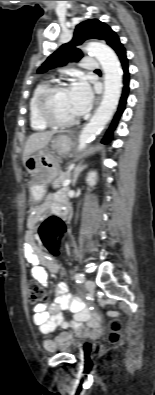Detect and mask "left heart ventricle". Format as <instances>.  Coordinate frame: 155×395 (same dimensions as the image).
I'll list each match as a JSON object with an SVG mask.
<instances>
[{
    "instance_id": "obj_1",
    "label": "left heart ventricle",
    "mask_w": 155,
    "mask_h": 395,
    "mask_svg": "<svg viewBox=\"0 0 155 395\" xmlns=\"http://www.w3.org/2000/svg\"><path fill=\"white\" fill-rule=\"evenodd\" d=\"M52 115L61 121H69L76 118L70 96L69 89L56 93L50 103Z\"/></svg>"
}]
</instances>
